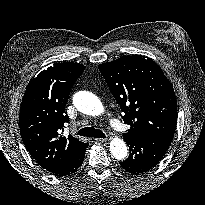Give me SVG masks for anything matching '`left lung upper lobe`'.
Listing matches in <instances>:
<instances>
[{"instance_id": "5c2ea615", "label": "left lung upper lobe", "mask_w": 205, "mask_h": 205, "mask_svg": "<svg viewBox=\"0 0 205 205\" xmlns=\"http://www.w3.org/2000/svg\"><path fill=\"white\" fill-rule=\"evenodd\" d=\"M109 89L130 125L124 137L174 134L177 101L160 67L143 56H123L98 65Z\"/></svg>"}]
</instances>
